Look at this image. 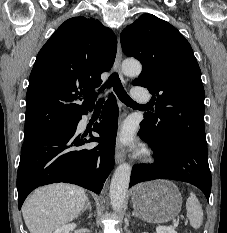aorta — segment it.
<instances>
[{"label":"aorta","instance_id":"762f6f07","mask_svg":"<svg viewBox=\"0 0 227 233\" xmlns=\"http://www.w3.org/2000/svg\"><path fill=\"white\" fill-rule=\"evenodd\" d=\"M142 66L138 61L126 60L122 64V71L130 77L138 76ZM131 167L127 163L120 164L112 177L110 184V201L115 211H120L125 202L126 193L130 183Z\"/></svg>","mask_w":227,"mask_h":233}]
</instances>
